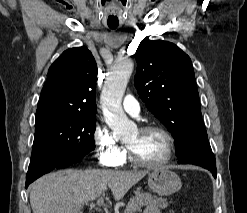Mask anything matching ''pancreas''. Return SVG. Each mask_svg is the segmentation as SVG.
I'll return each mask as SVG.
<instances>
[{"instance_id":"cf45deb5","label":"pancreas","mask_w":247,"mask_h":213,"mask_svg":"<svg viewBox=\"0 0 247 213\" xmlns=\"http://www.w3.org/2000/svg\"><path fill=\"white\" fill-rule=\"evenodd\" d=\"M144 206H156L159 209H165L168 207V201L147 192L136 191L123 213H137Z\"/></svg>"}]
</instances>
